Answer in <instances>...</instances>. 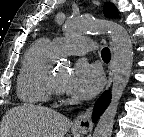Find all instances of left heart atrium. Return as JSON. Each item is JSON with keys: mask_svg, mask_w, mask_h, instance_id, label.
Returning a JSON list of instances; mask_svg holds the SVG:
<instances>
[{"mask_svg": "<svg viewBox=\"0 0 144 137\" xmlns=\"http://www.w3.org/2000/svg\"><path fill=\"white\" fill-rule=\"evenodd\" d=\"M102 72L95 64L79 62L68 76L64 89L73 97L88 99L101 87Z\"/></svg>", "mask_w": 144, "mask_h": 137, "instance_id": "left-heart-atrium-1", "label": "left heart atrium"}]
</instances>
